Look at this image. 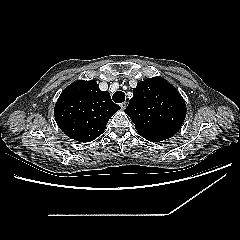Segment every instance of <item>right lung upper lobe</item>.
<instances>
[{
    "label": "right lung upper lobe",
    "mask_w": 240,
    "mask_h": 240,
    "mask_svg": "<svg viewBox=\"0 0 240 240\" xmlns=\"http://www.w3.org/2000/svg\"><path fill=\"white\" fill-rule=\"evenodd\" d=\"M121 107L101 91L96 81H77L59 96L54 116L59 128L71 139L90 142L105 130L109 119Z\"/></svg>",
    "instance_id": "1"
}]
</instances>
